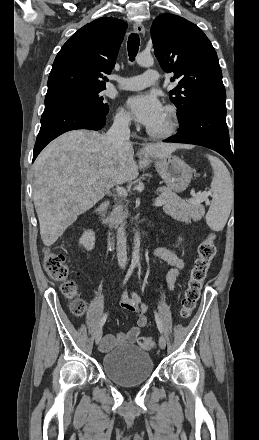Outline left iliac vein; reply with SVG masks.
<instances>
[{"mask_svg": "<svg viewBox=\"0 0 259 440\" xmlns=\"http://www.w3.org/2000/svg\"><path fill=\"white\" fill-rule=\"evenodd\" d=\"M165 346H166V340H165V337H164L163 335H161V336L159 337V347H160L161 349H164Z\"/></svg>", "mask_w": 259, "mask_h": 440, "instance_id": "4c4485c4", "label": "left iliac vein"}]
</instances>
